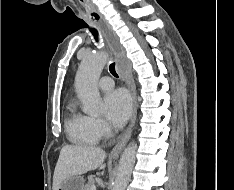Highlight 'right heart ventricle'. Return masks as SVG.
Returning a JSON list of instances; mask_svg holds the SVG:
<instances>
[{"label": "right heart ventricle", "instance_id": "obj_1", "mask_svg": "<svg viewBox=\"0 0 234 190\" xmlns=\"http://www.w3.org/2000/svg\"><path fill=\"white\" fill-rule=\"evenodd\" d=\"M65 127L69 140L79 145H94L100 137L91 125L90 117L79 112L74 103L67 106Z\"/></svg>", "mask_w": 234, "mask_h": 190}]
</instances>
